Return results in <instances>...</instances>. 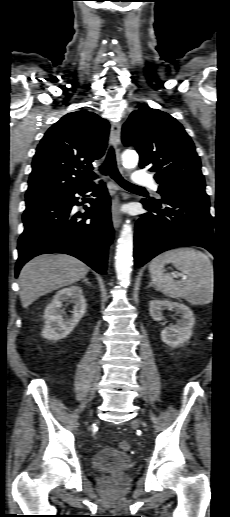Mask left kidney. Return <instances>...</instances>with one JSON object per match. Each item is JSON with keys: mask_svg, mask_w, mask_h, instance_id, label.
Segmentation results:
<instances>
[{"mask_svg": "<svg viewBox=\"0 0 230 517\" xmlns=\"http://www.w3.org/2000/svg\"><path fill=\"white\" fill-rule=\"evenodd\" d=\"M175 310L181 314V319L176 325L166 327L161 332L162 341L170 347L176 348L187 342L192 336V328L195 324L194 314L191 309L178 302L154 299L149 303V312L155 321L163 319L164 310Z\"/></svg>", "mask_w": 230, "mask_h": 517, "instance_id": "obj_1", "label": "left kidney"}]
</instances>
